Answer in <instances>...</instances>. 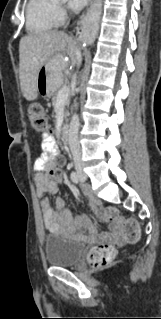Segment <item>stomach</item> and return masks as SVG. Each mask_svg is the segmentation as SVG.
<instances>
[{
    "label": "stomach",
    "instance_id": "0dacf381",
    "mask_svg": "<svg viewBox=\"0 0 161 319\" xmlns=\"http://www.w3.org/2000/svg\"><path fill=\"white\" fill-rule=\"evenodd\" d=\"M63 67L57 56L49 58L38 72L37 90L51 97L63 83Z\"/></svg>",
    "mask_w": 161,
    "mask_h": 319
}]
</instances>
